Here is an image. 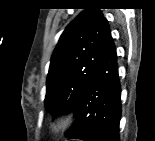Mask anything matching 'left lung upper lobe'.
Segmentation results:
<instances>
[{
  "label": "left lung upper lobe",
  "instance_id": "5c2ea615",
  "mask_svg": "<svg viewBox=\"0 0 155 141\" xmlns=\"http://www.w3.org/2000/svg\"><path fill=\"white\" fill-rule=\"evenodd\" d=\"M107 19L91 4L64 30L51 57L45 108L53 117L75 110L112 41Z\"/></svg>",
  "mask_w": 155,
  "mask_h": 141
}]
</instances>
